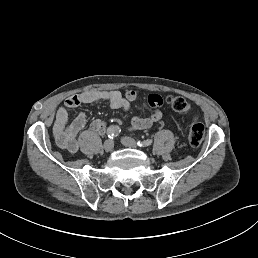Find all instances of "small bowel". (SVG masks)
Listing matches in <instances>:
<instances>
[{"mask_svg": "<svg viewBox=\"0 0 258 258\" xmlns=\"http://www.w3.org/2000/svg\"><path fill=\"white\" fill-rule=\"evenodd\" d=\"M137 99V93L134 90H127L121 93L118 90H88L66 98L64 105L61 106L55 115L53 122V135L57 145L71 153L79 149L78 135L87 122L86 114L79 113L76 118L68 123V110L76 108L82 104H91L104 101L113 108H120L129 111L131 104ZM163 100L157 94H151L148 97L147 104L151 113L146 117L134 116L131 119L130 130H142L151 127L162 118L160 106ZM189 109V106H188ZM89 129L92 133L102 135L106 130V123L102 120H93Z\"/></svg>", "mask_w": 258, "mask_h": 258, "instance_id": "c3829d8e", "label": "small bowel"}]
</instances>
